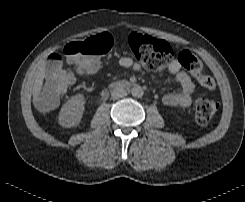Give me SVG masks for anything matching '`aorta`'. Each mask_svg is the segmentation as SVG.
<instances>
[{
	"label": "aorta",
	"mask_w": 245,
	"mask_h": 202,
	"mask_svg": "<svg viewBox=\"0 0 245 202\" xmlns=\"http://www.w3.org/2000/svg\"><path fill=\"white\" fill-rule=\"evenodd\" d=\"M131 94L134 97L141 98L144 94V90L141 86H135L131 89Z\"/></svg>",
	"instance_id": "obj_1"
}]
</instances>
